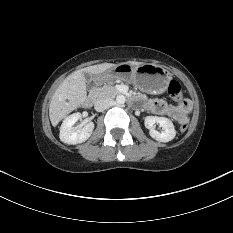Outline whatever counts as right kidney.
Wrapping results in <instances>:
<instances>
[{
	"mask_svg": "<svg viewBox=\"0 0 233 233\" xmlns=\"http://www.w3.org/2000/svg\"><path fill=\"white\" fill-rule=\"evenodd\" d=\"M81 113H73L67 116L60 127V140L69 145H76L85 142L94 129L93 122H86L83 128H75L73 125L81 119Z\"/></svg>",
	"mask_w": 233,
	"mask_h": 233,
	"instance_id": "right-kidney-1",
	"label": "right kidney"
}]
</instances>
